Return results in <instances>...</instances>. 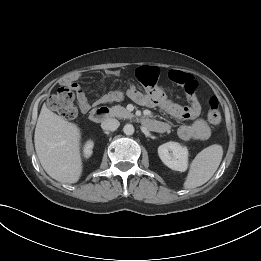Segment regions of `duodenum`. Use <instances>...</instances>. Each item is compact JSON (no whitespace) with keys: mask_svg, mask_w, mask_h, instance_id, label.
Returning a JSON list of instances; mask_svg holds the SVG:
<instances>
[{"mask_svg":"<svg viewBox=\"0 0 261 261\" xmlns=\"http://www.w3.org/2000/svg\"><path fill=\"white\" fill-rule=\"evenodd\" d=\"M110 115V109L106 106H99L98 108H96L92 114H91V119L94 122H102L105 119H107ZM142 123L145 127H147L148 129L154 130V131H162L164 129V126L155 120L149 119V118H145L142 120Z\"/></svg>","mask_w":261,"mask_h":261,"instance_id":"duodenum-1","label":"duodenum"}]
</instances>
